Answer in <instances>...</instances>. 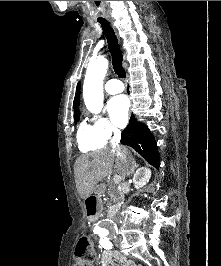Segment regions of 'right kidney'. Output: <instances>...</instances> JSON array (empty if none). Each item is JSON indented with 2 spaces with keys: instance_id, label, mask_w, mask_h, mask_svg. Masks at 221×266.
I'll return each instance as SVG.
<instances>
[{
  "instance_id": "1",
  "label": "right kidney",
  "mask_w": 221,
  "mask_h": 266,
  "mask_svg": "<svg viewBox=\"0 0 221 266\" xmlns=\"http://www.w3.org/2000/svg\"><path fill=\"white\" fill-rule=\"evenodd\" d=\"M151 177V170L146 167L139 168L133 177V183L136 189L145 186Z\"/></svg>"
}]
</instances>
